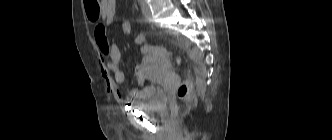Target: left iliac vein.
<instances>
[{"mask_svg": "<svg viewBox=\"0 0 332 140\" xmlns=\"http://www.w3.org/2000/svg\"><path fill=\"white\" fill-rule=\"evenodd\" d=\"M141 9H142V13H143L144 17L147 20H150L151 19V10L145 0H141Z\"/></svg>", "mask_w": 332, "mask_h": 140, "instance_id": "left-iliac-vein-1", "label": "left iliac vein"}]
</instances>
